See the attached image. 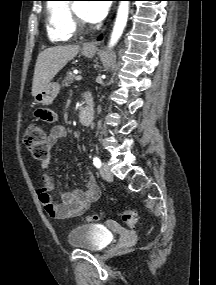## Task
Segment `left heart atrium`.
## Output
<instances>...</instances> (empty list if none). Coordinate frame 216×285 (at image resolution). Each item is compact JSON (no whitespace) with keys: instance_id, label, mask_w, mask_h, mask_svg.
Returning <instances> with one entry per match:
<instances>
[{"instance_id":"1","label":"left heart atrium","mask_w":216,"mask_h":285,"mask_svg":"<svg viewBox=\"0 0 216 285\" xmlns=\"http://www.w3.org/2000/svg\"><path fill=\"white\" fill-rule=\"evenodd\" d=\"M108 1H90L85 4L84 18L90 23H97L101 21L108 13Z\"/></svg>"}]
</instances>
